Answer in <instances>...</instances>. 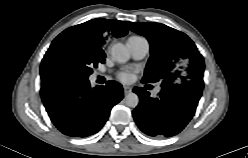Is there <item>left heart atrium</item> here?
I'll return each mask as SVG.
<instances>
[{"label":"left heart atrium","mask_w":248,"mask_h":158,"mask_svg":"<svg viewBox=\"0 0 248 158\" xmlns=\"http://www.w3.org/2000/svg\"><path fill=\"white\" fill-rule=\"evenodd\" d=\"M118 78L121 81L127 82V81H129L131 79V74L129 72H120L118 74Z\"/></svg>","instance_id":"left-heart-atrium-1"}]
</instances>
